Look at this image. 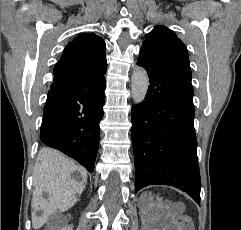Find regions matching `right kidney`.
<instances>
[{
    "label": "right kidney",
    "mask_w": 241,
    "mask_h": 230,
    "mask_svg": "<svg viewBox=\"0 0 241 230\" xmlns=\"http://www.w3.org/2000/svg\"><path fill=\"white\" fill-rule=\"evenodd\" d=\"M38 193H39V192H38V191H36V192L34 193V195H38Z\"/></svg>",
    "instance_id": "ca27d5eb"
}]
</instances>
